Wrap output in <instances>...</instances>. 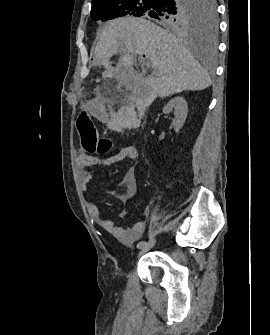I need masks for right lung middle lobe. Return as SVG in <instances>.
Listing matches in <instances>:
<instances>
[{"mask_svg":"<svg viewBox=\"0 0 270 335\" xmlns=\"http://www.w3.org/2000/svg\"><path fill=\"white\" fill-rule=\"evenodd\" d=\"M128 15L150 17L172 29L205 26L211 33L217 29L214 0H104L91 9L93 20Z\"/></svg>","mask_w":270,"mask_h":335,"instance_id":"right-lung-middle-lobe-1","label":"right lung middle lobe"}]
</instances>
